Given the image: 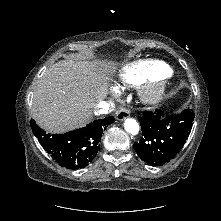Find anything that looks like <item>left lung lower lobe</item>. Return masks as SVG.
Wrapping results in <instances>:
<instances>
[{
  "mask_svg": "<svg viewBox=\"0 0 221 221\" xmlns=\"http://www.w3.org/2000/svg\"><path fill=\"white\" fill-rule=\"evenodd\" d=\"M194 113L186 109L180 114L146 111L138 117L142 138L133 144L137 155L152 166L173 159L183 148L193 125Z\"/></svg>",
  "mask_w": 221,
  "mask_h": 221,
  "instance_id": "1",
  "label": "left lung lower lobe"
}]
</instances>
